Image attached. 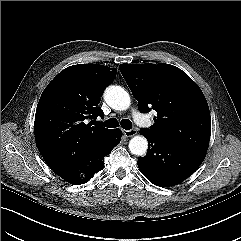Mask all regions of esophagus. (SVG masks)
<instances>
[{"instance_id":"esophagus-1","label":"esophagus","mask_w":241,"mask_h":241,"mask_svg":"<svg viewBox=\"0 0 241 241\" xmlns=\"http://www.w3.org/2000/svg\"><path fill=\"white\" fill-rule=\"evenodd\" d=\"M123 134L126 137H133L137 134V130L136 129H130V130H123Z\"/></svg>"}]
</instances>
